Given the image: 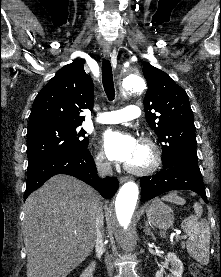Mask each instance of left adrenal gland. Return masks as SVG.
Listing matches in <instances>:
<instances>
[{
    "mask_svg": "<svg viewBox=\"0 0 221 277\" xmlns=\"http://www.w3.org/2000/svg\"><path fill=\"white\" fill-rule=\"evenodd\" d=\"M144 233L146 235L152 236V238L155 240V237H154L153 233L151 232L150 227L147 222H145Z\"/></svg>",
    "mask_w": 221,
    "mask_h": 277,
    "instance_id": "obj_1",
    "label": "left adrenal gland"
}]
</instances>
